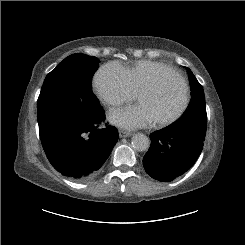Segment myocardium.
I'll return each mask as SVG.
<instances>
[{
	"instance_id": "obj_1",
	"label": "myocardium",
	"mask_w": 245,
	"mask_h": 245,
	"mask_svg": "<svg viewBox=\"0 0 245 245\" xmlns=\"http://www.w3.org/2000/svg\"><path fill=\"white\" fill-rule=\"evenodd\" d=\"M165 75H174L176 77V79L181 83L182 88H183V93H184V102L183 105L181 106V108L172 116L166 118V119H162L159 121L155 122V125L159 128H165L168 127L172 124H174L175 122H177L186 112V110L189 107L190 104V89H189V85L187 83V81L184 79V77L175 69L173 68H169L161 73L158 74L156 80L158 78H162ZM144 87L139 93L138 96L141 94H145V93H157L161 90L160 85L156 82Z\"/></svg>"
}]
</instances>
